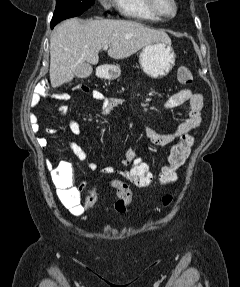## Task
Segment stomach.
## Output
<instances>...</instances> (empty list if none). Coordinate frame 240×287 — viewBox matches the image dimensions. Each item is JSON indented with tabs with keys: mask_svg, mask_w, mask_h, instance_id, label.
I'll list each match as a JSON object with an SVG mask.
<instances>
[{
	"mask_svg": "<svg viewBox=\"0 0 240 287\" xmlns=\"http://www.w3.org/2000/svg\"><path fill=\"white\" fill-rule=\"evenodd\" d=\"M175 52L168 42H154L143 47L139 55V63L146 75L153 79L166 76L174 67ZM120 75L118 66H112L109 76L116 78Z\"/></svg>",
	"mask_w": 240,
	"mask_h": 287,
	"instance_id": "obj_1",
	"label": "stomach"
}]
</instances>
